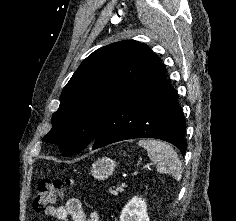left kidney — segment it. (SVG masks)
Returning a JSON list of instances; mask_svg holds the SVG:
<instances>
[{"label":"left kidney","instance_id":"5707ae66","mask_svg":"<svg viewBox=\"0 0 236 221\" xmlns=\"http://www.w3.org/2000/svg\"><path fill=\"white\" fill-rule=\"evenodd\" d=\"M120 221H150L145 200L133 197L122 210Z\"/></svg>","mask_w":236,"mask_h":221}]
</instances>
